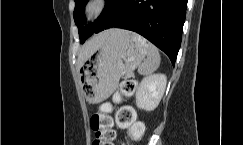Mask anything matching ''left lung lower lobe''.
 <instances>
[{"label": "left lung lower lobe", "mask_w": 243, "mask_h": 145, "mask_svg": "<svg viewBox=\"0 0 243 145\" xmlns=\"http://www.w3.org/2000/svg\"><path fill=\"white\" fill-rule=\"evenodd\" d=\"M186 7L187 0H123L114 13L104 12L90 25L91 35L113 27L137 32L165 52L174 65Z\"/></svg>", "instance_id": "1"}]
</instances>
